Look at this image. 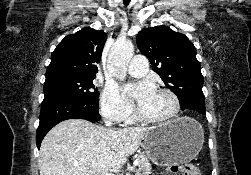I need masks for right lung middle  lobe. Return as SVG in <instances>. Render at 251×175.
Segmentation results:
<instances>
[{
	"instance_id": "right-lung-middle-lobe-1",
	"label": "right lung middle lobe",
	"mask_w": 251,
	"mask_h": 175,
	"mask_svg": "<svg viewBox=\"0 0 251 175\" xmlns=\"http://www.w3.org/2000/svg\"><path fill=\"white\" fill-rule=\"evenodd\" d=\"M95 76H68L59 75L46 77L44 83V94L56 92L78 97L84 100H91L99 96L92 81Z\"/></svg>"
}]
</instances>
